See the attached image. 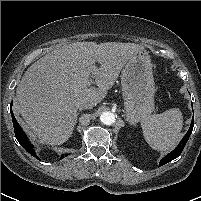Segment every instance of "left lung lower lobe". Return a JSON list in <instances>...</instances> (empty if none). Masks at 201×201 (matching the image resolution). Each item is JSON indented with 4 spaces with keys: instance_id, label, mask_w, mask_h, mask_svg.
I'll return each mask as SVG.
<instances>
[{
    "instance_id": "0a47b994",
    "label": "left lung lower lobe",
    "mask_w": 201,
    "mask_h": 201,
    "mask_svg": "<svg viewBox=\"0 0 201 201\" xmlns=\"http://www.w3.org/2000/svg\"><path fill=\"white\" fill-rule=\"evenodd\" d=\"M193 127H194V117L191 121V126H190L188 132L183 137V139L180 141L179 145L160 161L159 166H163V165L167 164L168 162L172 161L173 159L180 156V154L182 153V151L192 133Z\"/></svg>"
}]
</instances>
